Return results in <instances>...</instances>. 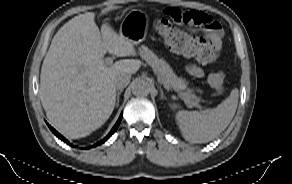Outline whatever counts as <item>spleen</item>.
<instances>
[{
	"label": "spleen",
	"instance_id": "3e777b00",
	"mask_svg": "<svg viewBox=\"0 0 292 184\" xmlns=\"http://www.w3.org/2000/svg\"><path fill=\"white\" fill-rule=\"evenodd\" d=\"M238 89L216 108L203 112L180 110L175 119L186 141L205 143L215 139L230 124L238 105Z\"/></svg>",
	"mask_w": 292,
	"mask_h": 184
}]
</instances>
